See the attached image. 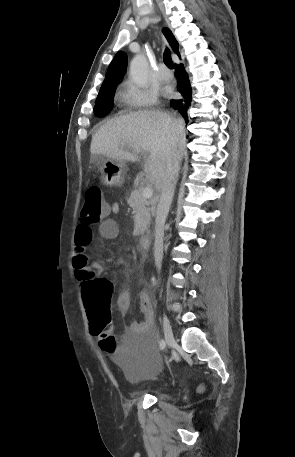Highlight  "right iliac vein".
I'll use <instances>...</instances> for the list:
<instances>
[{
	"label": "right iliac vein",
	"instance_id": "right-iliac-vein-1",
	"mask_svg": "<svg viewBox=\"0 0 295 457\" xmlns=\"http://www.w3.org/2000/svg\"><path fill=\"white\" fill-rule=\"evenodd\" d=\"M164 337L167 347H172L175 343L170 321L166 315L163 316Z\"/></svg>",
	"mask_w": 295,
	"mask_h": 457
}]
</instances>
